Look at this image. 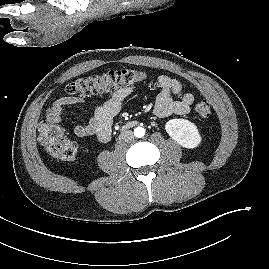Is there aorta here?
<instances>
[{
  "label": "aorta",
  "mask_w": 269,
  "mask_h": 269,
  "mask_svg": "<svg viewBox=\"0 0 269 269\" xmlns=\"http://www.w3.org/2000/svg\"><path fill=\"white\" fill-rule=\"evenodd\" d=\"M134 135L137 138H141L145 135V129L143 127H136L134 129Z\"/></svg>",
  "instance_id": "obj_1"
}]
</instances>
